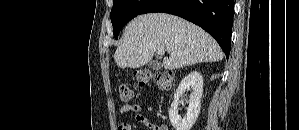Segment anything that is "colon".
Wrapping results in <instances>:
<instances>
[{
	"label": "colon",
	"mask_w": 299,
	"mask_h": 130,
	"mask_svg": "<svg viewBox=\"0 0 299 130\" xmlns=\"http://www.w3.org/2000/svg\"><path fill=\"white\" fill-rule=\"evenodd\" d=\"M137 83L141 86H148L154 82L161 89H170L173 85L174 74L171 71L152 72L148 69L137 70L134 73ZM133 93L129 86L119 87V97L121 101L128 102L132 99ZM161 130L160 128H157Z\"/></svg>",
	"instance_id": "obj_1"
}]
</instances>
